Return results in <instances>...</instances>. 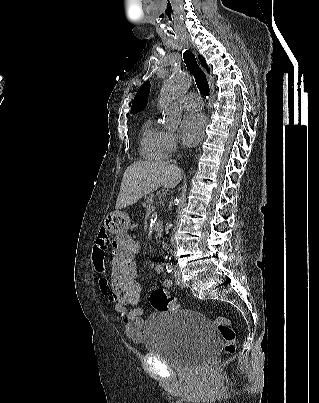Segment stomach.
Here are the masks:
<instances>
[{
  "mask_svg": "<svg viewBox=\"0 0 319 403\" xmlns=\"http://www.w3.org/2000/svg\"><path fill=\"white\" fill-rule=\"evenodd\" d=\"M129 212H110L104 221L105 229L111 234H128L131 228Z\"/></svg>",
  "mask_w": 319,
  "mask_h": 403,
  "instance_id": "1",
  "label": "stomach"
}]
</instances>
